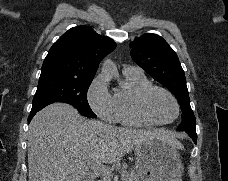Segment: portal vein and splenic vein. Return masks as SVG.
<instances>
[{
  "instance_id": "portal-vein-and-splenic-vein-1",
  "label": "portal vein and splenic vein",
  "mask_w": 228,
  "mask_h": 181,
  "mask_svg": "<svg viewBox=\"0 0 228 181\" xmlns=\"http://www.w3.org/2000/svg\"><path fill=\"white\" fill-rule=\"evenodd\" d=\"M94 173L95 175H99V173H104V175H108V177H111V175H113V169H109V167L101 165V167H95Z\"/></svg>"
}]
</instances>
